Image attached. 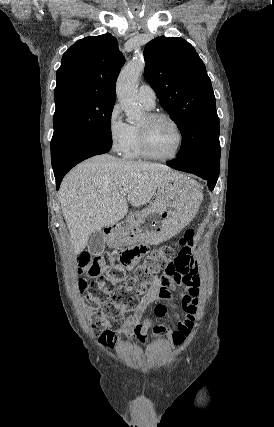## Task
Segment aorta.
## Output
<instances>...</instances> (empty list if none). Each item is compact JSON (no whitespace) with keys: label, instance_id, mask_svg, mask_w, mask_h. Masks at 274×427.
I'll return each mask as SVG.
<instances>
[{"label":"aorta","instance_id":"1","mask_svg":"<svg viewBox=\"0 0 274 427\" xmlns=\"http://www.w3.org/2000/svg\"><path fill=\"white\" fill-rule=\"evenodd\" d=\"M145 68L142 55H136L120 72L116 83L118 100L130 122L138 120L142 108L137 103V88L141 74Z\"/></svg>","mask_w":274,"mask_h":427}]
</instances>
